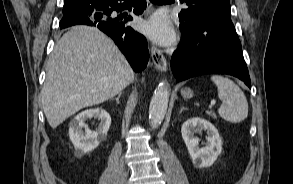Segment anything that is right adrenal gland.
<instances>
[{
    "mask_svg": "<svg viewBox=\"0 0 293 184\" xmlns=\"http://www.w3.org/2000/svg\"><path fill=\"white\" fill-rule=\"evenodd\" d=\"M121 93L118 94V96L116 98H113L116 100V103L119 104V99H120Z\"/></svg>",
    "mask_w": 293,
    "mask_h": 184,
    "instance_id": "right-adrenal-gland-1",
    "label": "right adrenal gland"
}]
</instances>
